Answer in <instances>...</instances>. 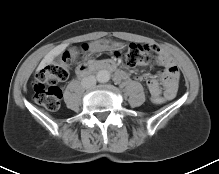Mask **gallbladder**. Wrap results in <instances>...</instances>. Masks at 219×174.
<instances>
[{
    "label": "gallbladder",
    "mask_w": 219,
    "mask_h": 174,
    "mask_svg": "<svg viewBox=\"0 0 219 174\" xmlns=\"http://www.w3.org/2000/svg\"><path fill=\"white\" fill-rule=\"evenodd\" d=\"M70 53H71L72 58H75V57H77V55H78V51H77L76 48H72V49L70 50Z\"/></svg>",
    "instance_id": "bac80fb5"
}]
</instances>
